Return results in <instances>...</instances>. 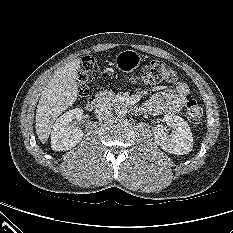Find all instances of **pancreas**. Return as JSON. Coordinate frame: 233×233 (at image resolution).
Wrapping results in <instances>:
<instances>
[{
	"label": "pancreas",
	"instance_id": "obj_1",
	"mask_svg": "<svg viewBox=\"0 0 233 233\" xmlns=\"http://www.w3.org/2000/svg\"><path fill=\"white\" fill-rule=\"evenodd\" d=\"M98 98L104 102H113L116 100V95L112 91H100L97 94Z\"/></svg>",
	"mask_w": 233,
	"mask_h": 233
}]
</instances>
